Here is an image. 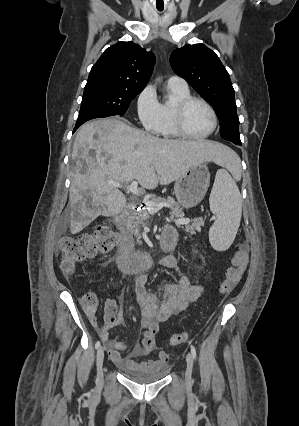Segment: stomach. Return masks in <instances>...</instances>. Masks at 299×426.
Masks as SVG:
<instances>
[{"instance_id": "stomach-1", "label": "stomach", "mask_w": 299, "mask_h": 426, "mask_svg": "<svg viewBox=\"0 0 299 426\" xmlns=\"http://www.w3.org/2000/svg\"><path fill=\"white\" fill-rule=\"evenodd\" d=\"M210 182V173L205 163L191 167L174 185L178 203L184 208L198 205L204 198Z\"/></svg>"}]
</instances>
